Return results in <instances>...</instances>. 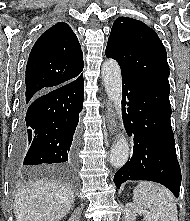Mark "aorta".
Masks as SVG:
<instances>
[{"label":"aorta","instance_id":"aorta-1","mask_svg":"<svg viewBox=\"0 0 190 221\" xmlns=\"http://www.w3.org/2000/svg\"><path fill=\"white\" fill-rule=\"evenodd\" d=\"M102 79L108 98L113 103L116 114L121 118L122 76L118 63L113 59L106 60L102 65ZM129 143L127 138L120 134L110 153V164L115 168L122 167L129 158Z\"/></svg>","mask_w":190,"mask_h":221}]
</instances>
